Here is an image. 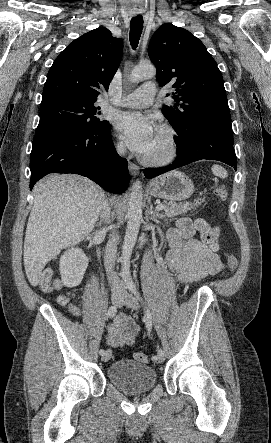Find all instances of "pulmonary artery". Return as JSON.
Segmentation results:
<instances>
[{
	"instance_id": "pulmonary-artery-1",
	"label": "pulmonary artery",
	"mask_w": 271,
	"mask_h": 443,
	"mask_svg": "<svg viewBox=\"0 0 271 443\" xmlns=\"http://www.w3.org/2000/svg\"><path fill=\"white\" fill-rule=\"evenodd\" d=\"M155 94V85L151 82H148L140 86L132 93L125 94L118 99L111 101V103L123 107H146L152 103Z\"/></svg>"
}]
</instances>
